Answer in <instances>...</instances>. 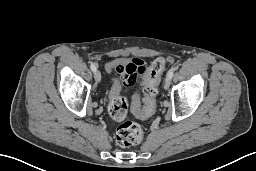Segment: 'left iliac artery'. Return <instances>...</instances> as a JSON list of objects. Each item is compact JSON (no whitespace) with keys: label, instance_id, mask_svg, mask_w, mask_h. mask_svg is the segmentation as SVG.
Returning a JSON list of instances; mask_svg holds the SVG:
<instances>
[{"label":"left iliac artery","instance_id":"obj_1","mask_svg":"<svg viewBox=\"0 0 256 171\" xmlns=\"http://www.w3.org/2000/svg\"><path fill=\"white\" fill-rule=\"evenodd\" d=\"M173 74H174V69H170L167 73V77L171 79L173 77Z\"/></svg>","mask_w":256,"mask_h":171}]
</instances>
